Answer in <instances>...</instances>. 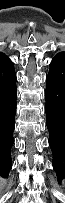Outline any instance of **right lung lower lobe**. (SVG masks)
<instances>
[{
  "mask_svg": "<svg viewBox=\"0 0 65 203\" xmlns=\"http://www.w3.org/2000/svg\"><path fill=\"white\" fill-rule=\"evenodd\" d=\"M16 75L13 64L0 67V176L7 178L12 166L10 156L16 114Z\"/></svg>",
  "mask_w": 65,
  "mask_h": 203,
  "instance_id": "1",
  "label": "right lung lower lobe"
}]
</instances>
